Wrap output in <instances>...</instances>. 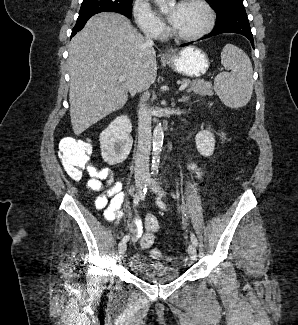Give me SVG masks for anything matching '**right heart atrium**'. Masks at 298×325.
<instances>
[{
    "label": "right heart atrium",
    "instance_id": "obj_1",
    "mask_svg": "<svg viewBox=\"0 0 298 325\" xmlns=\"http://www.w3.org/2000/svg\"><path fill=\"white\" fill-rule=\"evenodd\" d=\"M134 16L140 30H154L153 41H162L165 26L153 12L148 0L135 2Z\"/></svg>",
    "mask_w": 298,
    "mask_h": 325
}]
</instances>
